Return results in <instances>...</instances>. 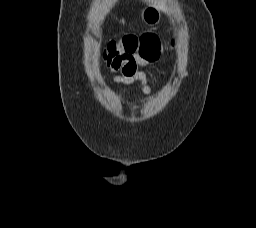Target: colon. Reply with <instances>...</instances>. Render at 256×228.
Returning a JSON list of instances; mask_svg holds the SVG:
<instances>
[{
    "instance_id": "1",
    "label": "colon",
    "mask_w": 256,
    "mask_h": 228,
    "mask_svg": "<svg viewBox=\"0 0 256 228\" xmlns=\"http://www.w3.org/2000/svg\"><path fill=\"white\" fill-rule=\"evenodd\" d=\"M139 53L149 59H158L161 53V43L158 37L151 33L141 36L126 35L118 41H111L106 48L104 58L111 65L124 54Z\"/></svg>"
}]
</instances>
